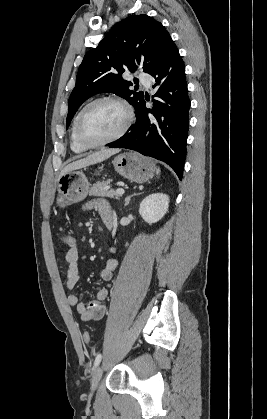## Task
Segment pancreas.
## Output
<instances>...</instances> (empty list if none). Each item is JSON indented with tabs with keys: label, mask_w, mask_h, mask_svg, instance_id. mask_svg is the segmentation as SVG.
Instances as JSON below:
<instances>
[{
	"label": "pancreas",
	"mask_w": 267,
	"mask_h": 419,
	"mask_svg": "<svg viewBox=\"0 0 267 419\" xmlns=\"http://www.w3.org/2000/svg\"><path fill=\"white\" fill-rule=\"evenodd\" d=\"M111 180L98 181L90 188L89 195L109 198H119V195L112 189L108 190L106 187L110 184Z\"/></svg>",
	"instance_id": "obj_1"
}]
</instances>
